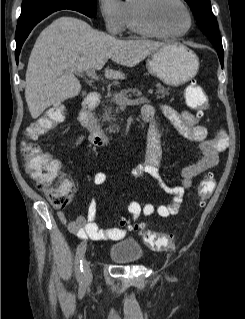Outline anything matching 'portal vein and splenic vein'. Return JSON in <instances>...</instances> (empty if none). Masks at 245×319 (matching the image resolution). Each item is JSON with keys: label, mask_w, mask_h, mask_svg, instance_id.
I'll return each mask as SVG.
<instances>
[{"label": "portal vein and splenic vein", "mask_w": 245, "mask_h": 319, "mask_svg": "<svg viewBox=\"0 0 245 319\" xmlns=\"http://www.w3.org/2000/svg\"><path fill=\"white\" fill-rule=\"evenodd\" d=\"M98 70H100V69H98ZM86 75H87L88 77H90L91 79L99 80V77H98V75H97L96 72H95V69L87 70V71H86ZM148 93H149V94H152V93H153V90H152V89L148 90ZM115 98H116L118 104H119L120 106H123V107H125V106H127V105H135V104H138V103H141V102H144V101L147 100L146 97H140V98H137V99H135V100H131V99H128L127 97H124V96L119 95V94H117V95L115 96Z\"/></svg>", "instance_id": "18ae733b"}]
</instances>
